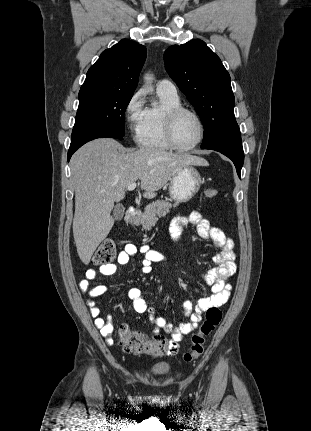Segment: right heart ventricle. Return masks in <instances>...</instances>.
Returning a JSON list of instances; mask_svg holds the SVG:
<instances>
[{"label":"right heart ventricle","instance_id":"1","mask_svg":"<svg viewBox=\"0 0 311 431\" xmlns=\"http://www.w3.org/2000/svg\"><path fill=\"white\" fill-rule=\"evenodd\" d=\"M161 103L159 106L148 107L144 111L142 121L138 127L136 140L145 149L171 150L172 147L165 137L164 120L168 110L181 106L177 95L158 92Z\"/></svg>","mask_w":311,"mask_h":431}]
</instances>
